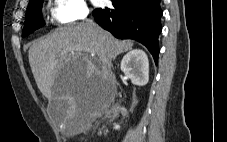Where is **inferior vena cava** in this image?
<instances>
[{
    "instance_id": "inferior-vena-cava-1",
    "label": "inferior vena cava",
    "mask_w": 227,
    "mask_h": 142,
    "mask_svg": "<svg viewBox=\"0 0 227 142\" xmlns=\"http://www.w3.org/2000/svg\"><path fill=\"white\" fill-rule=\"evenodd\" d=\"M85 23H86V25H88L89 27H91V28H93L94 30H96L97 25H96L92 20L87 19Z\"/></svg>"
}]
</instances>
